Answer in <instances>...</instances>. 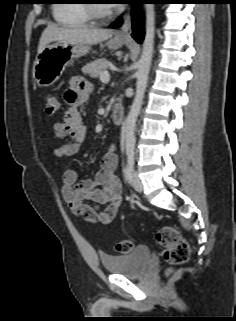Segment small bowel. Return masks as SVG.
I'll list each match as a JSON object with an SVG mask.
<instances>
[{
    "label": "small bowel",
    "mask_w": 236,
    "mask_h": 321,
    "mask_svg": "<svg viewBox=\"0 0 236 321\" xmlns=\"http://www.w3.org/2000/svg\"><path fill=\"white\" fill-rule=\"evenodd\" d=\"M91 86L80 77L70 80L69 88L64 93L68 108L62 121L52 126L54 135L68 143L56 148L57 158L73 156L78 153L85 140L87 127L82 121L80 107L90 96ZM118 155L114 145L106 151L101 168L91 179L80 181L79 173L67 169L63 173L61 192L69 208L79 217L90 223L109 224L116 217L123 201L122 184L116 176ZM91 201L94 205L87 202ZM105 205V209L100 207Z\"/></svg>",
    "instance_id": "c3829d8e"
}]
</instances>
